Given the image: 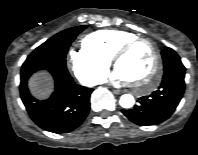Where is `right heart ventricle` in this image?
I'll return each mask as SVG.
<instances>
[{
  "instance_id": "1",
  "label": "right heart ventricle",
  "mask_w": 198,
  "mask_h": 155,
  "mask_svg": "<svg viewBox=\"0 0 198 155\" xmlns=\"http://www.w3.org/2000/svg\"><path fill=\"white\" fill-rule=\"evenodd\" d=\"M138 37L135 33L120 29H104L90 33L83 45L101 57L111 60L115 51L125 42Z\"/></svg>"
}]
</instances>
